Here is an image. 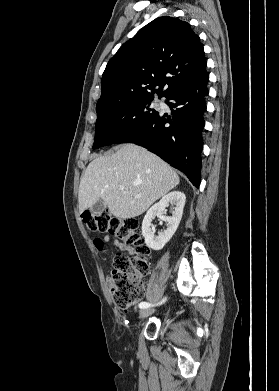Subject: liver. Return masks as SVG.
Instances as JSON below:
<instances>
[{
  "label": "liver",
  "mask_w": 279,
  "mask_h": 391,
  "mask_svg": "<svg viewBox=\"0 0 279 391\" xmlns=\"http://www.w3.org/2000/svg\"><path fill=\"white\" fill-rule=\"evenodd\" d=\"M179 182L177 173L157 155L141 146L124 144L115 153L108 152L89 163L80 181L79 211L102 200L117 218L137 217Z\"/></svg>",
  "instance_id": "obj_1"
}]
</instances>
